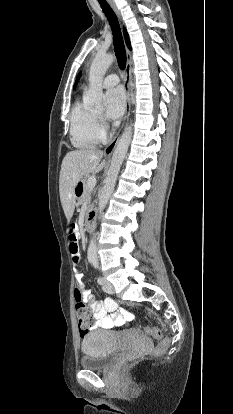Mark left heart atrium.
<instances>
[{
    "instance_id": "left-heart-atrium-1",
    "label": "left heart atrium",
    "mask_w": 233,
    "mask_h": 414,
    "mask_svg": "<svg viewBox=\"0 0 233 414\" xmlns=\"http://www.w3.org/2000/svg\"><path fill=\"white\" fill-rule=\"evenodd\" d=\"M106 115L111 120L119 119L125 109L126 97L121 87L109 89L104 95Z\"/></svg>"
}]
</instances>
